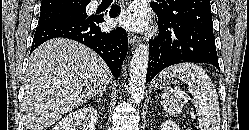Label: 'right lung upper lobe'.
I'll return each mask as SVG.
<instances>
[{
    "label": "right lung upper lobe",
    "instance_id": "1",
    "mask_svg": "<svg viewBox=\"0 0 249 130\" xmlns=\"http://www.w3.org/2000/svg\"><path fill=\"white\" fill-rule=\"evenodd\" d=\"M82 2L89 3L90 0H42L41 10L67 9L75 7Z\"/></svg>",
    "mask_w": 249,
    "mask_h": 130
}]
</instances>
